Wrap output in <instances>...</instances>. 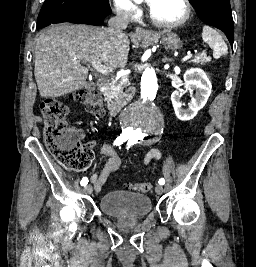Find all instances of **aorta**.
I'll use <instances>...</instances> for the list:
<instances>
[{
    "instance_id": "762f6f07",
    "label": "aorta",
    "mask_w": 256,
    "mask_h": 267,
    "mask_svg": "<svg viewBox=\"0 0 256 267\" xmlns=\"http://www.w3.org/2000/svg\"><path fill=\"white\" fill-rule=\"evenodd\" d=\"M156 80L157 75L152 70L141 75L142 101L127 108L126 117L121 118V127H159V122H164V117H159L160 108L148 104L156 96ZM126 133H143L142 143H159V138H148V133H155V128H126Z\"/></svg>"
}]
</instances>
